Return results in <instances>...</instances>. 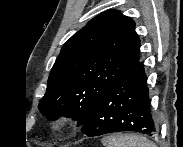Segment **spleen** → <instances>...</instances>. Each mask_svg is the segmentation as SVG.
Returning <instances> with one entry per match:
<instances>
[{
	"instance_id": "obj_1",
	"label": "spleen",
	"mask_w": 183,
	"mask_h": 147,
	"mask_svg": "<svg viewBox=\"0 0 183 147\" xmlns=\"http://www.w3.org/2000/svg\"><path fill=\"white\" fill-rule=\"evenodd\" d=\"M105 147H156L147 138L137 134H113L102 138Z\"/></svg>"
}]
</instances>
